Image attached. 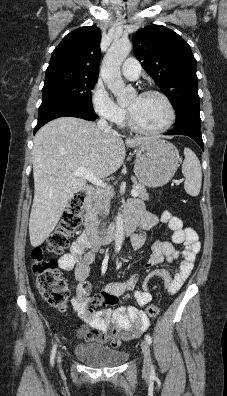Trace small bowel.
<instances>
[{
	"label": "small bowel",
	"instance_id": "1",
	"mask_svg": "<svg viewBox=\"0 0 227 396\" xmlns=\"http://www.w3.org/2000/svg\"><path fill=\"white\" fill-rule=\"evenodd\" d=\"M128 214L137 219L142 231H149L159 223L167 224L172 232V243L157 241L153 245L152 254L146 263V268H154L164 260L172 264L182 258L179 266L171 274L166 269L151 271L143 282L142 290H134L138 275H132L124 282H110L102 285V292L90 299L91 284L86 280L90 266L95 260L93 251L87 250L84 235H80L72 244L70 252L59 259V267L64 271L74 270L76 284L73 285L74 296L72 306L82 317L84 324L78 329V336L87 341L110 343L118 347L122 341L138 337L149 327L147 314L135 306H120L114 309H98L102 305H114L121 296L128 292L138 306H146L152 300L150 287L155 280L162 282L170 294L178 292L190 275L195 258L201 249L197 232L191 227H185L180 218L171 211H164L156 216L144 211L142 202L133 200L128 205ZM143 233L134 234L131 238L132 248L140 250L146 243ZM173 244L184 246L183 251L177 250Z\"/></svg>",
	"mask_w": 227,
	"mask_h": 396
}]
</instances>
